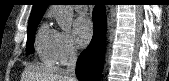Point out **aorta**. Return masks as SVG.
I'll list each match as a JSON object with an SVG mask.
<instances>
[{"label":"aorta","instance_id":"1","mask_svg":"<svg viewBox=\"0 0 169 81\" xmlns=\"http://www.w3.org/2000/svg\"><path fill=\"white\" fill-rule=\"evenodd\" d=\"M107 9V41L111 38L112 22L115 15V8L109 6ZM53 11L57 24L62 30L69 31L73 21V7L72 5H54Z\"/></svg>","mask_w":169,"mask_h":81}]
</instances>
